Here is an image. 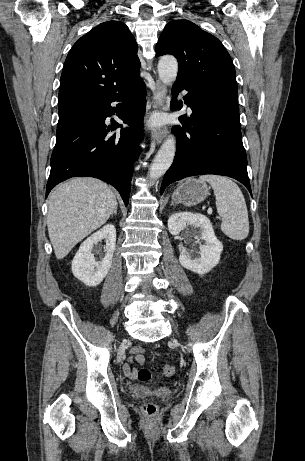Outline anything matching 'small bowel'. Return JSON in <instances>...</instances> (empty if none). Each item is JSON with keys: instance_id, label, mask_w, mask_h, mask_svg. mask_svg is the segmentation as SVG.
Segmentation results:
<instances>
[{"instance_id": "c3829d8e", "label": "small bowel", "mask_w": 305, "mask_h": 461, "mask_svg": "<svg viewBox=\"0 0 305 461\" xmlns=\"http://www.w3.org/2000/svg\"><path fill=\"white\" fill-rule=\"evenodd\" d=\"M145 349L141 346H136L132 350V357L129 361L123 366L124 374L129 378H136L137 370L134 367V362H137L140 365H144L146 363L145 357L143 355Z\"/></svg>"}]
</instances>
